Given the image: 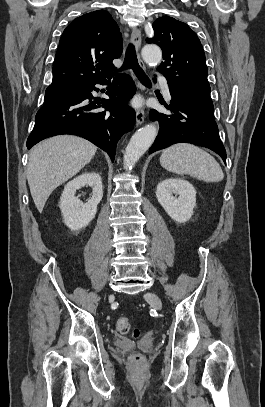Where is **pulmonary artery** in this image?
<instances>
[{"instance_id":"obj_1","label":"pulmonary artery","mask_w":265,"mask_h":407,"mask_svg":"<svg viewBox=\"0 0 265 407\" xmlns=\"http://www.w3.org/2000/svg\"><path fill=\"white\" fill-rule=\"evenodd\" d=\"M158 81L162 85L163 92L167 98H170L169 87L167 85V81L163 76L158 77Z\"/></svg>"}]
</instances>
